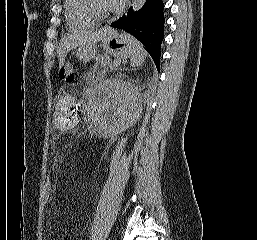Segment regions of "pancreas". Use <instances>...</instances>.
Masks as SVG:
<instances>
[{"instance_id":"cf45deb5","label":"pancreas","mask_w":257,"mask_h":240,"mask_svg":"<svg viewBox=\"0 0 257 240\" xmlns=\"http://www.w3.org/2000/svg\"><path fill=\"white\" fill-rule=\"evenodd\" d=\"M99 69L114 70V69H116V66L114 65V63H112V61L110 60V58L108 56L101 55L97 58V61L94 65V71L99 70Z\"/></svg>"}]
</instances>
